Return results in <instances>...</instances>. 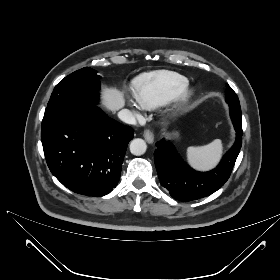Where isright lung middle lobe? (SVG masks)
Returning <instances> with one entry per match:
<instances>
[{
  "label": "right lung middle lobe",
  "instance_id": "dd1d6c3e",
  "mask_svg": "<svg viewBox=\"0 0 280 280\" xmlns=\"http://www.w3.org/2000/svg\"><path fill=\"white\" fill-rule=\"evenodd\" d=\"M96 73L85 67L65 77L54 88L45 111L67 103L97 104L100 76Z\"/></svg>",
  "mask_w": 280,
  "mask_h": 280
}]
</instances>
